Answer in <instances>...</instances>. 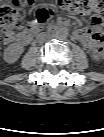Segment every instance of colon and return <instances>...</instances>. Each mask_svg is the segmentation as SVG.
I'll return each mask as SVG.
<instances>
[{"label":"colon","instance_id":"colon-1","mask_svg":"<svg viewBox=\"0 0 104 137\" xmlns=\"http://www.w3.org/2000/svg\"><path fill=\"white\" fill-rule=\"evenodd\" d=\"M53 6L68 14L79 13H96L99 14L104 11V0H51ZM33 0H13L9 4H5L0 9V22L5 34L14 30H20L25 24V7L30 5ZM53 8L50 6H43L37 11L38 22H46L52 15ZM102 19L96 15L92 19V37L97 42L103 39V32L101 29ZM94 50L101 52L102 47L95 45Z\"/></svg>","mask_w":104,"mask_h":137}]
</instances>
